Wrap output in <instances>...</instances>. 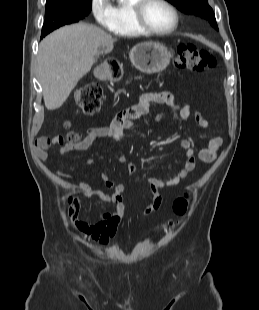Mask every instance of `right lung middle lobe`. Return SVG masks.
Here are the masks:
<instances>
[{"instance_id": "obj_1", "label": "right lung middle lobe", "mask_w": 259, "mask_h": 310, "mask_svg": "<svg viewBox=\"0 0 259 310\" xmlns=\"http://www.w3.org/2000/svg\"><path fill=\"white\" fill-rule=\"evenodd\" d=\"M91 8V0L46 5L41 38L63 25L78 22L90 13Z\"/></svg>"}]
</instances>
